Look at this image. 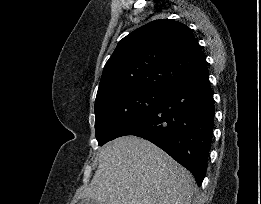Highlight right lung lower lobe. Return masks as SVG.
<instances>
[{"instance_id":"98d812e1","label":"right lung lower lobe","mask_w":261,"mask_h":204,"mask_svg":"<svg viewBox=\"0 0 261 204\" xmlns=\"http://www.w3.org/2000/svg\"><path fill=\"white\" fill-rule=\"evenodd\" d=\"M214 114L205 62L167 88L157 105L120 136L135 135L154 143L191 171L200 186L207 168Z\"/></svg>"}]
</instances>
